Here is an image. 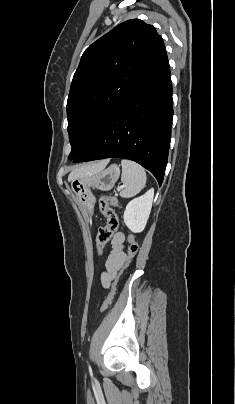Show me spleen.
Instances as JSON below:
<instances>
[{
    "mask_svg": "<svg viewBox=\"0 0 235 404\" xmlns=\"http://www.w3.org/2000/svg\"><path fill=\"white\" fill-rule=\"evenodd\" d=\"M122 175L121 181L124 184V190L120 193L123 198H130L138 194L145 186V169L131 160L123 159L121 161Z\"/></svg>",
    "mask_w": 235,
    "mask_h": 404,
    "instance_id": "3e777b00",
    "label": "spleen"
}]
</instances>
